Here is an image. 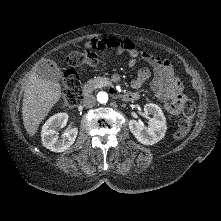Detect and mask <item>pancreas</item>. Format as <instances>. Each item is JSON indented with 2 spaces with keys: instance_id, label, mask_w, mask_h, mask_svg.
Here are the masks:
<instances>
[{
  "instance_id": "1",
  "label": "pancreas",
  "mask_w": 221,
  "mask_h": 221,
  "mask_svg": "<svg viewBox=\"0 0 221 221\" xmlns=\"http://www.w3.org/2000/svg\"><path fill=\"white\" fill-rule=\"evenodd\" d=\"M111 85V81L108 77H95L94 79H90L87 83V86H89L92 90L96 88H102L107 87Z\"/></svg>"
}]
</instances>
